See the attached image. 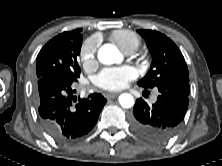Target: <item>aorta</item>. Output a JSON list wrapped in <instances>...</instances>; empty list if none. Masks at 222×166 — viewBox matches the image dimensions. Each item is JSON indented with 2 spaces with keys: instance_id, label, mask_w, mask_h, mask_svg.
I'll use <instances>...</instances> for the list:
<instances>
[{
  "instance_id": "aorta-1",
  "label": "aorta",
  "mask_w": 222,
  "mask_h": 166,
  "mask_svg": "<svg viewBox=\"0 0 222 166\" xmlns=\"http://www.w3.org/2000/svg\"><path fill=\"white\" fill-rule=\"evenodd\" d=\"M97 57L105 65L119 63L122 60L119 50L112 44H105L100 47ZM119 103L123 108H131L134 105V98L129 93H123L119 96Z\"/></svg>"
}]
</instances>
